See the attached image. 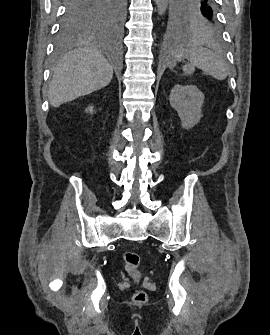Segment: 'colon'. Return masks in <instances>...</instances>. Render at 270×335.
<instances>
[{
	"instance_id": "colon-1",
	"label": "colon",
	"mask_w": 270,
	"mask_h": 335,
	"mask_svg": "<svg viewBox=\"0 0 270 335\" xmlns=\"http://www.w3.org/2000/svg\"><path fill=\"white\" fill-rule=\"evenodd\" d=\"M122 260L126 270L129 272L136 271L141 265V256L135 250H126L123 253ZM133 298L137 302H145L148 299V294L143 289H138L134 292Z\"/></svg>"
}]
</instances>
